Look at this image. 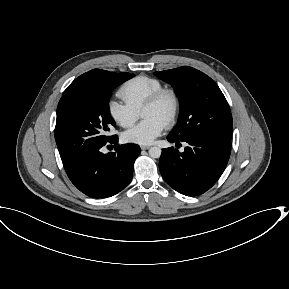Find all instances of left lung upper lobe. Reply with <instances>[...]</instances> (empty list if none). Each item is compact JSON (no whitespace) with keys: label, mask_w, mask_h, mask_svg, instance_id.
Wrapping results in <instances>:
<instances>
[{"label":"left lung upper lobe","mask_w":289,"mask_h":289,"mask_svg":"<svg viewBox=\"0 0 289 289\" xmlns=\"http://www.w3.org/2000/svg\"><path fill=\"white\" fill-rule=\"evenodd\" d=\"M155 74L175 87L180 102L178 122L169 135L179 140L193 136L231 140L233 121L228 102L209 76L188 66Z\"/></svg>","instance_id":"5c2ea615"}]
</instances>
